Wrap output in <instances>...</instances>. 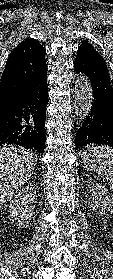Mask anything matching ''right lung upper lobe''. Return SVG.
Listing matches in <instances>:
<instances>
[{
  "label": "right lung upper lobe",
  "instance_id": "1",
  "mask_svg": "<svg viewBox=\"0 0 113 279\" xmlns=\"http://www.w3.org/2000/svg\"><path fill=\"white\" fill-rule=\"evenodd\" d=\"M46 51L35 39H25L9 54L0 82V112L47 70Z\"/></svg>",
  "mask_w": 113,
  "mask_h": 279
}]
</instances>
